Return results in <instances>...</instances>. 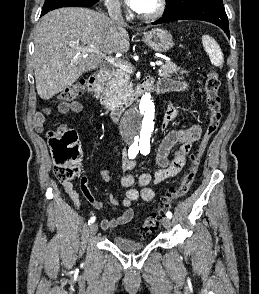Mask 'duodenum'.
<instances>
[{"instance_id": "1", "label": "duodenum", "mask_w": 259, "mask_h": 294, "mask_svg": "<svg viewBox=\"0 0 259 294\" xmlns=\"http://www.w3.org/2000/svg\"><path fill=\"white\" fill-rule=\"evenodd\" d=\"M110 75L109 69H100L94 73L88 80L87 89L89 94L96 100L102 99L101 88ZM154 86L153 80L149 77L144 78L135 87L133 93L129 97L128 101L116 106L112 112L111 117L114 122H118L122 114L136 101H138L147 91L151 90Z\"/></svg>"}]
</instances>
